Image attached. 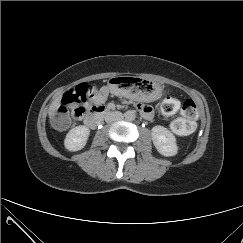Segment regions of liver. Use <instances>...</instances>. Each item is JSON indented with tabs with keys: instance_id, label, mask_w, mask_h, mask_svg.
Masks as SVG:
<instances>
[{
	"instance_id": "1",
	"label": "liver",
	"mask_w": 243,
	"mask_h": 243,
	"mask_svg": "<svg viewBox=\"0 0 243 243\" xmlns=\"http://www.w3.org/2000/svg\"><path fill=\"white\" fill-rule=\"evenodd\" d=\"M60 103H61V96L58 97V98H56V99L52 102V104H51V106H50V111H49V118H50V119H52V118L55 116V114H56V112H57V109H58L59 106H60Z\"/></svg>"
}]
</instances>
